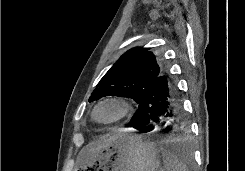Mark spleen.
I'll return each mask as SVG.
<instances>
[{"label": "spleen", "mask_w": 245, "mask_h": 171, "mask_svg": "<svg viewBox=\"0 0 245 171\" xmlns=\"http://www.w3.org/2000/svg\"><path fill=\"white\" fill-rule=\"evenodd\" d=\"M164 168L160 171H189L187 166L173 153L165 149L161 150Z\"/></svg>", "instance_id": "spleen-1"}]
</instances>
